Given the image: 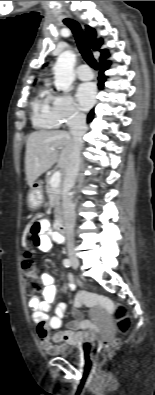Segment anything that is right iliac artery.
I'll return each mask as SVG.
<instances>
[{"label": "right iliac artery", "instance_id": "1", "mask_svg": "<svg viewBox=\"0 0 155 395\" xmlns=\"http://www.w3.org/2000/svg\"><path fill=\"white\" fill-rule=\"evenodd\" d=\"M63 265H64L65 267H70V266H71V261H70L69 259H64V260H63Z\"/></svg>", "mask_w": 155, "mask_h": 395}]
</instances>
